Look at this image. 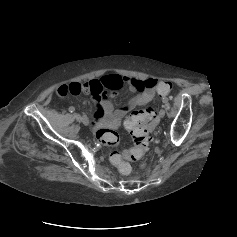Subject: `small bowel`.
Segmentation results:
<instances>
[{"label": "small bowel", "mask_w": 237, "mask_h": 237, "mask_svg": "<svg viewBox=\"0 0 237 237\" xmlns=\"http://www.w3.org/2000/svg\"><path fill=\"white\" fill-rule=\"evenodd\" d=\"M156 80L153 78L139 80L121 75H108L100 79L86 82H71L62 84L56 89V93L61 96L88 94L97 103L98 108L94 114V127H108L116 129L120 126L124 117L138 106L148 104L154 98V88ZM128 85L134 93L122 107L114 109L113 104L105 96L110 94L115 96L117 91Z\"/></svg>", "instance_id": "1"}]
</instances>
